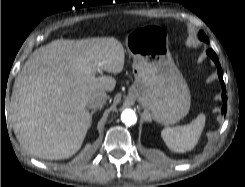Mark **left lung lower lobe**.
I'll return each mask as SVG.
<instances>
[{
    "mask_svg": "<svg viewBox=\"0 0 245 187\" xmlns=\"http://www.w3.org/2000/svg\"><path fill=\"white\" fill-rule=\"evenodd\" d=\"M207 54L211 57V59L215 62L217 68H218V77L220 79V82L222 84V99H223V106H222V114L226 113V101H227V96H226V89H225V84L223 81V74H222V69L218 60L217 55L215 54V52L210 49L207 51Z\"/></svg>",
    "mask_w": 245,
    "mask_h": 187,
    "instance_id": "left-lung-lower-lobe-1",
    "label": "left lung lower lobe"
}]
</instances>
